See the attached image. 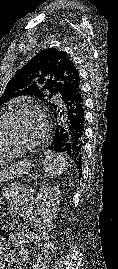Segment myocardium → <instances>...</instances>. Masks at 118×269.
I'll list each match as a JSON object with an SVG mask.
<instances>
[{
  "label": "myocardium",
  "mask_w": 118,
  "mask_h": 269,
  "mask_svg": "<svg viewBox=\"0 0 118 269\" xmlns=\"http://www.w3.org/2000/svg\"><path fill=\"white\" fill-rule=\"evenodd\" d=\"M26 112H36L42 118L45 129L44 133L39 140L34 143H25L14 140H5L4 132L7 130L8 125L18 116L26 113ZM49 131V122L46 115L37 107L33 105H23L19 108L11 110L6 113L3 120L0 122V147L4 152H23V151H31L37 147H40L46 140Z\"/></svg>",
  "instance_id": "1"
}]
</instances>
